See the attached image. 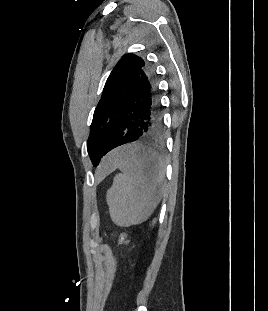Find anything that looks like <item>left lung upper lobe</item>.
Listing matches in <instances>:
<instances>
[{
    "mask_svg": "<svg viewBox=\"0 0 268 311\" xmlns=\"http://www.w3.org/2000/svg\"><path fill=\"white\" fill-rule=\"evenodd\" d=\"M145 64L143 58L132 53L125 54L109 75L94 111L87 141V150L94 166L99 164L112 136L120 128L124 119L123 111L129 103L138 73Z\"/></svg>",
    "mask_w": 268,
    "mask_h": 311,
    "instance_id": "1",
    "label": "left lung upper lobe"
}]
</instances>
